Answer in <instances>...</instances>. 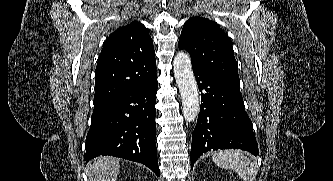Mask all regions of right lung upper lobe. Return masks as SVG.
I'll return each instance as SVG.
<instances>
[{
  "instance_id": "cb5924a9",
  "label": "right lung upper lobe",
  "mask_w": 333,
  "mask_h": 181,
  "mask_svg": "<svg viewBox=\"0 0 333 181\" xmlns=\"http://www.w3.org/2000/svg\"><path fill=\"white\" fill-rule=\"evenodd\" d=\"M155 79L153 41L144 25L135 21L120 27L107 38L98 59L94 107Z\"/></svg>"
}]
</instances>
